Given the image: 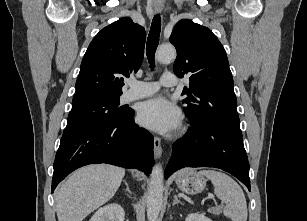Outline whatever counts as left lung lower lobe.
<instances>
[{
	"instance_id": "obj_1",
	"label": "left lung lower lobe",
	"mask_w": 307,
	"mask_h": 221,
	"mask_svg": "<svg viewBox=\"0 0 307 221\" xmlns=\"http://www.w3.org/2000/svg\"><path fill=\"white\" fill-rule=\"evenodd\" d=\"M184 167L220 168L237 177L251 191L242 136L217 125H193L192 131L175 142L165 178Z\"/></svg>"
}]
</instances>
